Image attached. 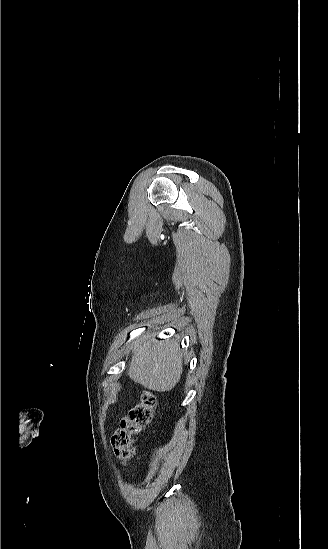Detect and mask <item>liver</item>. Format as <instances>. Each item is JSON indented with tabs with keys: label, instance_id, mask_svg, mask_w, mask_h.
Wrapping results in <instances>:
<instances>
[{
	"label": "liver",
	"instance_id": "liver-1",
	"mask_svg": "<svg viewBox=\"0 0 328 549\" xmlns=\"http://www.w3.org/2000/svg\"><path fill=\"white\" fill-rule=\"evenodd\" d=\"M183 373L182 353L177 341H155L148 337L135 343L128 377L145 389L165 393L179 383Z\"/></svg>",
	"mask_w": 328,
	"mask_h": 549
}]
</instances>
